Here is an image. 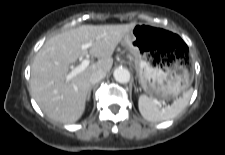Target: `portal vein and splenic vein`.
Here are the masks:
<instances>
[{
    "mask_svg": "<svg viewBox=\"0 0 225 155\" xmlns=\"http://www.w3.org/2000/svg\"><path fill=\"white\" fill-rule=\"evenodd\" d=\"M91 45H92L91 42L85 43L81 45V48L83 50H88ZM89 64H90V60L84 59L80 65H78L77 67L71 70V72L66 76V79L71 80L73 77H75L76 75L84 71L89 66ZM159 106L162 107V103L159 102Z\"/></svg>",
    "mask_w": 225,
    "mask_h": 155,
    "instance_id": "1",
    "label": "portal vein and splenic vein"
}]
</instances>
